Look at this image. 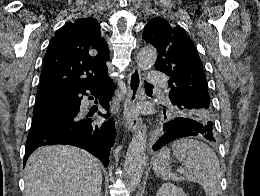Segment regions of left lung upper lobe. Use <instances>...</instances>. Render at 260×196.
Instances as JSON below:
<instances>
[{"instance_id":"5c2ea615","label":"left lung upper lobe","mask_w":260,"mask_h":196,"mask_svg":"<svg viewBox=\"0 0 260 196\" xmlns=\"http://www.w3.org/2000/svg\"><path fill=\"white\" fill-rule=\"evenodd\" d=\"M143 39L158 51L155 69L169 76L172 106L164 109L165 122L159 125L156 136L160 137L164 126L177 118L213 124L203 64L185 31L164 18L155 17L145 25Z\"/></svg>"}]
</instances>
